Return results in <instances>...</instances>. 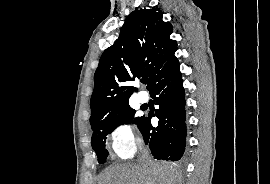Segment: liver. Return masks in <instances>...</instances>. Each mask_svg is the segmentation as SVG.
Returning a JSON list of instances; mask_svg holds the SVG:
<instances>
[{
	"mask_svg": "<svg viewBox=\"0 0 270 184\" xmlns=\"http://www.w3.org/2000/svg\"><path fill=\"white\" fill-rule=\"evenodd\" d=\"M98 184H181V174L167 163H126L107 168Z\"/></svg>",
	"mask_w": 270,
	"mask_h": 184,
	"instance_id": "6515ba94",
	"label": "liver"
}]
</instances>
